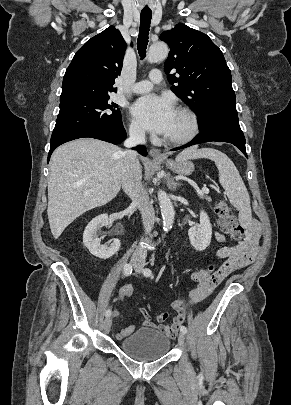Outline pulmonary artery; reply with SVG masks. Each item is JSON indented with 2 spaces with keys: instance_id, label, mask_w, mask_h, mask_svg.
I'll list each match as a JSON object with an SVG mask.
<instances>
[{
  "instance_id": "pulmonary-artery-1",
  "label": "pulmonary artery",
  "mask_w": 291,
  "mask_h": 405,
  "mask_svg": "<svg viewBox=\"0 0 291 405\" xmlns=\"http://www.w3.org/2000/svg\"><path fill=\"white\" fill-rule=\"evenodd\" d=\"M162 79H163V76H162L161 71L158 69H153V70H151V72L149 74V79L142 80V81L135 83L132 86L131 91L133 93H137V94L147 92L153 88L154 84L160 83L162 81Z\"/></svg>"
}]
</instances>
